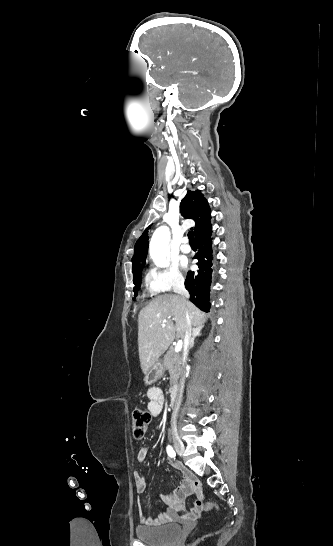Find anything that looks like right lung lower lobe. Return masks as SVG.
I'll list each match as a JSON object with an SVG mask.
<instances>
[{"label": "right lung lower lobe", "instance_id": "right-lung-lower-lobe-1", "mask_svg": "<svg viewBox=\"0 0 333 546\" xmlns=\"http://www.w3.org/2000/svg\"><path fill=\"white\" fill-rule=\"evenodd\" d=\"M211 234L212 228L210 226L195 237L198 251L194 258L198 260L197 265L199 269L196 272H188L185 280V288L190 293V301L205 312H208L211 306L210 286L215 268Z\"/></svg>", "mask_w": 333, "mask_h": 546}]
</instances>
